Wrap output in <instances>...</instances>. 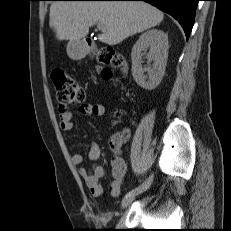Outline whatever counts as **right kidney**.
Segmentation results:
<instances>
[{
    "instance_id": "right-kidney-1",
    "label": "right kidney",
    "mask_w": 231,
    "mask_h": 231,
    "mask_svg": "<svg viewBox=\"0 0 231 231\" xmlns=\"http://www.w3.org/2000/svg\"><path fill=\"white\" fill-rule=\"evenodd\" d=\"M149 52L146 54L147 50ZM147 56L150 64L143 67L142 56ZM168 58V35L161 30L152 29L143 33L132 48V75L142 88L152 90L159 85L165 73ZM147 72L148 76L144 73Z\"/></svg>"
}]
</instances>
